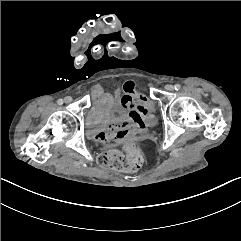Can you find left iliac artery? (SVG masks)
I'll list each match as a JSON object with an SVG mask.
<instances>
[{
    "label": "left iliac artery",
    "mask_w": 241,
    "mask_h": 241,
    "mask_svg": "<svg viewBox=\"0 0 241 241\" xmlns=\"http://www.w3.org/2000/svg\"><path fill=\"white\" fill-rule=\"evenodd\" d=\"M174 88H175V90H180V88H181V86H180V84H176L175 86H174Z\"/></svg>",
    "instance_id": "obj_1"
}]
</instances>
